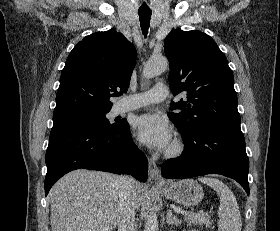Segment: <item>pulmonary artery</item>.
Returning a JSON list of instances; mask_svg holds the SVG:
<instances>
[{
  "label": "pulmonary artery",
  "instance_id": "pulmonary-artery-1",
  "mask_svg": "<svg viewBox=\"0 0 280 231\" xmlns=\"http://www.w3.org/2000/svg\"><path fill=\"white\" fill-rule=\"evenodd\" d=\"M168 97V88L164 84H157L152 89L128 96L127 99L120 104V112L134 110L149 104L160 103Z\"/></svg>",
  "mask_w": 280,
  "mask_h": 231
}]
</instances>
